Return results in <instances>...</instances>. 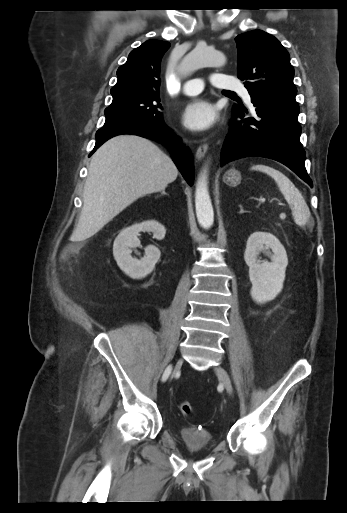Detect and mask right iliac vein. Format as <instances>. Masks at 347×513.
Returning a JSON list of instances; mask_svg holds the SVG:
<instances>
[{
	"label": "right iliac vein",
	"mask_w": 347,
	"mask_h": 513,
	"mask_svg": "<svg viewBox=\"0 0 347 513\" xmlns=\"http://www.w3.org/2000/svg\"><path fill=\"white\" fill-rule=\"evenodd\" d=\"M183 363V360L182 359H179L173 369V372H172V376L178 372V370L180 369L181 365Z\"/></svg>",
	"instance_id": "obj_1"
}]
</instances>
